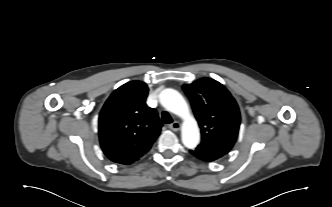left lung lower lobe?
I'll return each mask as SVG.
<instances>
[{"label": "left lung lower lobe", "instance_id": "obj_1", "mask_svg": "<svg viewBox=\"0 0 332 207\" xmlns=\"http://www.w3.org/2000/svg\"><path fill=\"white\" fill-rule=\"evenodd\" d=\"M189 152L196 158L206 161V162L215 161L223 156L219 153L208 151V150H203V149H199V148L190 150Z\"/></svg>", "mask_w": 332, "mask_h": 207}]
</instances>
